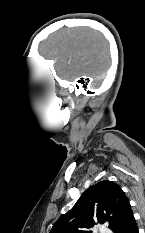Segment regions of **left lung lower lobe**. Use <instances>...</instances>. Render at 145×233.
<instances>
[{
  "label": "left lung lower lobe",
  "instance_id": "1",
  "mask_svg": "<svg viewBox=\"0 0 145 233\" xmlns=\"http://www.w3.org/2000/svg\"><path fill=\"white\" fill-rule=\"evenodd\" d=\"M125 233H138V226L135 220L130 224Z\"/></svg>",
  "mask_w": 145,
  "mask_h": 233
}]
</instances>
